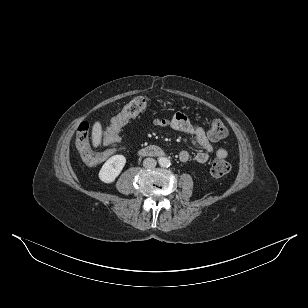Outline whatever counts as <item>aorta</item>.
<instances>
[{
	"label": "aorta",
	"mask_w": 308,
	"mask_h": 308,
	"mask_svg": "<svg viewBox=\"0 0 308 308\" xmlns=\"http://www.w3.org/2000/svg\"><path fill=\"white\" fill-rule=\"evenodd\" d=\"M159 164L162 166V167H169L171 165V161L168 159V158H165V157H161L159 159Z\"/></svg>",
	"instance_id": "obj_1"
}]
</instances>
